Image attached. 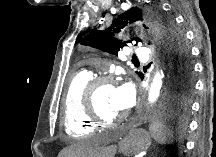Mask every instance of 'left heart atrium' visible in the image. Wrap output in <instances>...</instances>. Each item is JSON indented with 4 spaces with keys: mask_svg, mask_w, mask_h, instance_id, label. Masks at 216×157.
Listing matches in <instances>:
<instances>
[{
    "mask_svg": "<svg viewBox=\"0 0 216 157\" xmlns=\"http://www.w3.org/2000/svg\"><path fill=\"white\" fill-rule=\"evenodd\" d=\"M115 105L119 110H126L131 107L134 102V92L132 87L123 83L114 87Z\"/></svg>",
    "mask_w": 216,
    "mask_h": 157,
    "instance_id": "left-heart-atrium-1",
    "label": "left heart atrium"
}]
</instances>
